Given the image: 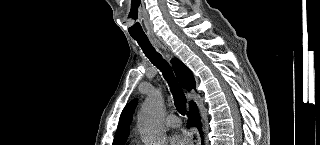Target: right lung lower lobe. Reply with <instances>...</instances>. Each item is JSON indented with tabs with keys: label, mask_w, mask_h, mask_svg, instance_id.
Instances as JSON below:
<instances>
[{
	"label": "right lung lower lobe",
	"mask_w": 320,
	"mask_h": 145,
	"mask_svg": "<svg viewBox=\"0 0 320 145\" xmlns=\"http://www.w3.org/2000/svg\"><path fill=\"white\" fill-rule=\"evenodd\" d=\"M188 117L190 118L188 120V126H197L200 133H201V123H200V117L198 114V110L196 107V104L194 102H192L190 104V112Z\"/></svg>",
	"instance_id": "1"
}]
</instances>
